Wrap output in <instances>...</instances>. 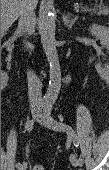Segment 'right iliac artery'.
<instances>
[{
	"label": "right iliac artery",
	"mask_w": 109,
	"mask_h": 170,
	"mask_svg": "<svg viewBox=\"0 0 109 170\" xmlns=\"http://www.w3.org/2000/svg\"><path fill=\"white\" fill-rule=\"evenodd\" d=\"M40 107H41V108L45 107V103H42V104L40 105ZM33 125H34L33 120H28V121L26 122V125H25L26 130H27L28 132H31L32 129H33ZM20 165H21V163H17V164H16V167L18 168Z\"/></svg>",
	"instance_id": "obj_1"
}]
</instances>
